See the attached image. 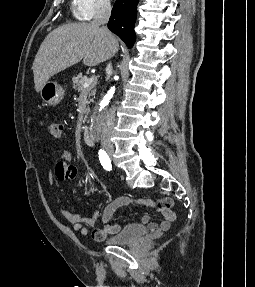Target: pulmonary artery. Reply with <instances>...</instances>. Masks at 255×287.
<instances>
[{
  "label": "pulmonary artery",
  "mask_w": 255,
  "mask_h": 287,
  "mask_svg": "<svg viewBox=\"0 0 255 287\" xmlns=\"http://www.w3.org/2000/svg\"><path fill=\"white\" fill-rule=\"evenodd\" d=\"M122 33H129V32H122ZM111 39H114V38H111ZM128 39V38H127Z\"/></svg>",
  "instance_id": "pulmonary-artery-1"
}]
</instances>
